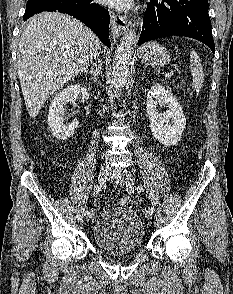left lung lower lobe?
I'll return each mask as SVG.
<instances>
[{
    "mask_svg": "<svg viewBox=\"0 0 233 294\" xmlns=\"http://www.w3.org/2000/svg\"><path fill=\"white\" fill-rule=\"evenodd\" d=\"M208 8V0H150L138 45L176 35L197 39L214 53Z\"/></svg>",
    "mask_w": 233,
    "mask_h": 294,
    "instance_id": "left-lung-lower-lobe-1",
    "label": "left lung lower lobe"
}]
</instances>
